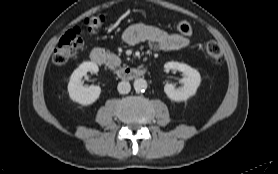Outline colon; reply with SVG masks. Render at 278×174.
Wrapping results in <instances>:
<instances>
[{
    "label": "colon",
    "instance_id": "colon-1",
    "mask_svg": "<svg viewBox=\"0 0 278 174\" xmlns=\"http://www.w3.org/2000/svg\"><path fill=\"white\" fill-rule=\"evenodd\" d=\"M105 18L103 15H94L87 17L84 20V25L90 32L98 31L104 24ZM178 31L185 36H189L192 33L191 25L182 21L177 26ZM84 46V38L81 35V31L79 28H74L66 32L64 36L58 42L54 53H53V63L58 66L65 65L72 58H74L77 53ZM206 53L211 61L214 63H220L222 60V50L220 46L211 41L206 45Z\"/></svg>",
    "mask_w": 278,
    "mask_h": 174
}]
</instances>
